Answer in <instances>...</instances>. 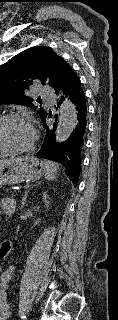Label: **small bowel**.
I'll return each mask as SVG.
<instances>
[{
    "label": "small bowel",
    "instance_id": "obj_1",
    "mask_svg": "<svg viewBox=\"0 0 118 320\" xmlns=\"http://www.w3.org/2000/svg\"><path fill=\"white\" fill-rule=\"evenodd\" d=\"M0 204V214L8 215L12 212V209L14 207V200L11 197H3L0 200ZM10 248L11 243L9 244V248L7 249V251H9ZM0 250L3 251L2 244L0 246ZM14 272L15 267H9L0 274V320H8L10 316V303L8 300L7 291L13 278Z\"/></svg>",
    "mask_w": 118,
    "mask_h": 320
}]
</instances>
